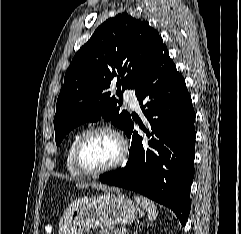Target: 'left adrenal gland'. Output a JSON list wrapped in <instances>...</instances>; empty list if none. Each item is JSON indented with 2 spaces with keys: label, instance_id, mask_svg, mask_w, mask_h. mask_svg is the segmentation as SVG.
Listing matches in <instances>:
<instances>
[{
  "label": "left adrenal gland",
  "instance_id": "1",
  "mask_svg": "<svg viewBox=\"0 0 241 234\" xmlns=\"http://www.w3.org/2000/svg\"><path fill=\"white\" fill-rule=\"evenodd\" d=\"M143 227V226H142ZM138 230L134 229L133 234H137Z\"/></svg>",
  "mask_w": 241,
  "mask_h": 234
}]
</instances>
